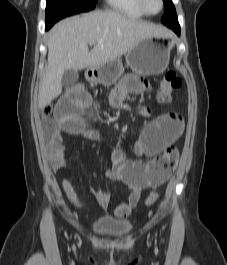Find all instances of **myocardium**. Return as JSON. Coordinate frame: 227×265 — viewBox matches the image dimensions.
<instances>
[{"label": "myocardium", "mask_w": 227, "mask_h": 265, "mask_svg": "<svg viewBox=\"0 0 227 265\" xmlns=\"http://www.w3.org/2000/svg\"><path fill=\"white\" fill-rule=\"evenodd\" d=\"M159 1V9L156 11V12H150L147 7H146V0H138V3H139V6H140V9L142 10V12L145 14V15H148V16H154V15H157L159 14L163 8H164V1L163 0H158Z\"/></svg>", "instance_id": "obj_1"}]
</instances>
